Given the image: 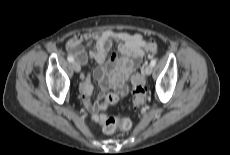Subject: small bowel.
I'll use <instances>...</instances> for the list:
<instances>
[{
  "label": "small bowel",
  "mask_w": 230,
  "mask_h": 155,
  "mask_svg": "<svg viewBox=\"0 0 230 155\" xmlns=\"http://www.w3.org/2000/svg\"><path fill=\"white\" fill-rule=\"evenodd\" d=\"M82 44L89 47L88 54L81 48ZM115 44L117 51L107 60L108 52ZM145 45L146 41L140 34L112 30L76 35L67 42V51L79 64H86L89 56L99 65L93 71L102 91L99 101L91 100L93 86L90 74L82 75V101L89 111L106 109L128 93V78L142 60ZM109 88H114L115 92L106 94ZM110 97H114L115 101L110 102Z\"/></svg>",
  "instance_id": "obj_1"
}]
</instances>
